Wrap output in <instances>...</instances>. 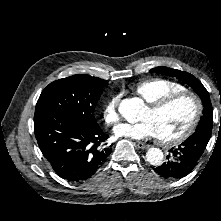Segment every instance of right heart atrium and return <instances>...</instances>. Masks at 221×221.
<instances>
[{"mask_svg":"<svg viewBox=\"0 0 221 221\" xmlns=\"http://www.w3.org/2000/svg\"><path fill=\"white\" fill-rule=\"evenodd\" d=\"M120 97L118 95L112 96L104 105L103 120L107 125H114L119 120L118 103Z\"/></svg>","mask_w":221,"mask_h":221,"instance_id":"obj_1","label":"right heart atrium"}]
</instances>
